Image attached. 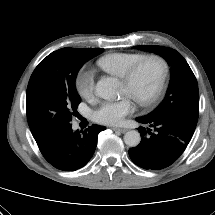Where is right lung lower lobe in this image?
<instances>
[{"instance_id":"right-lung-lower-lobe-1","label":"right lung lower lobe","mask_w":215,"mask_h":215,"mask_svg":"<svg viewBox=\"0 0 215 215\" xmlns=\"http://www.w3.org/2000/svg\"><path fill=\"white\" fill-rule=\"evenodd\" d=\"M105 129L104 126L92 125L85 131H73L70 124L38 147L45 159L55 168L75 171L91 159L98 134Z\"/></svg>"}]
</instances>
